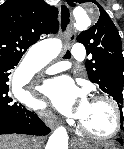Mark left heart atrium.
Listing matches in <instances>:
<instances>
[{"label": "left heart atrium", "mask_w": 124, "mask_h": 149, "mask_svg": "<svg viewBox=\"0 0 124 149\" xmlns=\"http://www.w3.org/2000/svg\"><path fill=\"white\" fill-rule=\"evenodd\" d=\"M45 90L65 109L72 110L77 118L84 114L90 104L85 90L76 86L69 77L63 76L52 80L45 86Z\"/></svg>", "instance_id": "1"}]
</instances>
